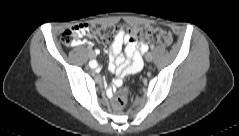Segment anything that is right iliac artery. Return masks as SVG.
I'll use <instances>...</instances> for the list:
<instances>
[{"label":"right iliac artery","mask_w":239,"mask_h":136,"mask_svg":"<svg viewBox=\"0 0 239 136\" xmlns=\"http://www.w3.org/2000/svg\"><path fill=\"white\" fill-rule=\"evenodd\" d=\"M87 51H88V53H92L91 47H87Z\"/></svg>","instance_id":"obj_1"}]
</instances>
